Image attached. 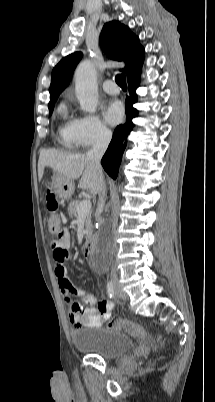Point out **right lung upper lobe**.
<instances>
[{"mask_svg": "<svg viewBox=\"0 0 215 402\" xmlns=\"http://www.w3.org/2000/svg\"><path fill=\"white\" fill-rule=\"evenodd\" d=\"M100 46L112 59L126 63L123 72L127 79L138 77L144 60V48L138 37L119 21H110L103 26L100 34ZM82 58L81 52H74L64 57L53 69L50 85V100L58 98L68 86L74 69Z\"/></svg>", "mask_w": 215, "mask_h": 402, "instance_id": "obj_1", "label": "right lung upper lobe"}]
</instances>
